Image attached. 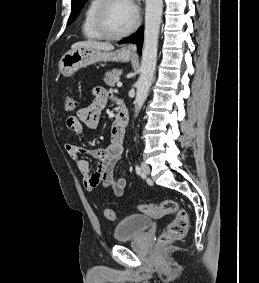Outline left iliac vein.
Here are the masks:
<instances>
[{
  "label": "left iliac vein",
  "instance_id": "4c4485c4",
  "mask_svg": "<svg viewBox=\"0 0 259 283\" xmlns=\"http://www.w3.org/2000/svg\"><path fill=\"white\" fill-rule=\"evenodd\" d=\"M141 169L145 176H148L150 174V168L146 163L141 164Z\"/></svg>",
  "mask_w": 259,
  "mask_h": 283
}]
</instances>
